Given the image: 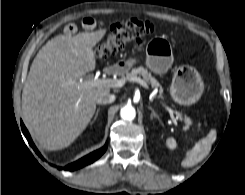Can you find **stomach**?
I'll return each mask as SVG.
<instances>
[{
    "instance_id": "stomach-1",
    "label": "stomach",
    "mask_w": 245,
    "mask_h": 195,
    "mask_svg": "<svg viewBox=\"0 0 245 195\" xmlns=\"http://www.w3.org/2000/svg\"><path fill=\"white\" fill-rule=\"evenodd\" d=\"M172 48L170 43L162 38H155L148 44L146 50V65L157 74L165 73L172 64ZM134 57L120 60L114 64L113 69L119 75L128 73L137 63ZM204 91V83L198 71L188 65L178 67L173 75L170 85L172 99L180 105H191L197 102Z\"/></svg>"
}]
</instances>
